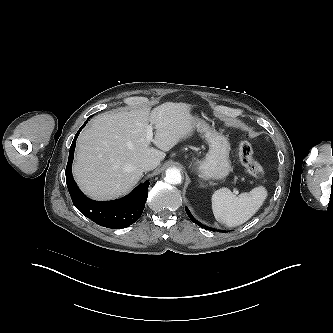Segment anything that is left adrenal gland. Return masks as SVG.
<instances>
[{
    "mask_svg": "<svg viewBox=\"0 0 333 333\" xmlns=\"http://www.w3.org/2000/svg\"><path fill=\"white\" fill-rule=\"evenodd\" d=\"M201 187H204V185L201 183V185H200Z\"/></svg>",
    "mask_w": 333,
    "mask_h": 333,
    "instance_id": "1",
    "label": "left adrenal gland"
}]
</instances>
